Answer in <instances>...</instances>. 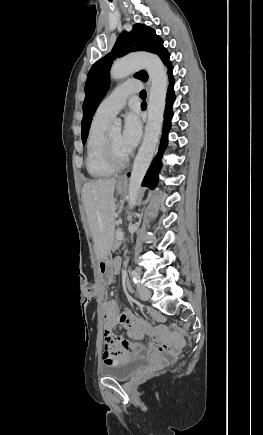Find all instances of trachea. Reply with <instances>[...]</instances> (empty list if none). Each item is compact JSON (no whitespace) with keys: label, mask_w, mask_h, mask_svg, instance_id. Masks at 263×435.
Returning <instances> with one entry per match:
<instances>
[{"label":"trachea","mask_w":263,"mask_h":435,"mask_svg":"<svg viewBox=\"0 0 263 435\" xmlns=\"http://www.w3.org/2000/svg\"><path fill=\"white\" fill-rule=\"evenodd\" d=\"M140 96H141V97H146V96H147L146 91H145V90H142V91L140 92Z\"/></svg>","instance_id":"obj_1"}]
</instances>
